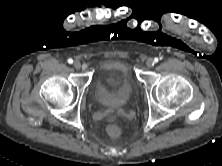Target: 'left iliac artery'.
Returning a JSON list of instances; mask_svg holds the SVG:
<instances>
[{
    "label": "left iliac artery",
    "mask_w": 222,
    "mask_h": 166,
    "mask_svg": "<svg viewBox=\"0 0 222 166\" xmlns=\"http://www.w3.org/2000/svg\"><path fill=\"white\" fill-rule=\"evenodd\" d=\"M159 61L158 58H154V62L157 63Z\"/></svg>",
    "instance_id": "left-iliac-artery-1"
}]
</instances>
